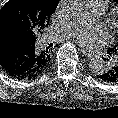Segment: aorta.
Instances as JSON below:
<instances>
[{
  "mask_svg": "<svg viewBox=\"0 0 118 118\" xmlns=\"http://www.w3.org/2000/svg\"><path fill=\"white\" fill-rule=\"evenodd\" d=\"M61 12L64 16L68 18H77L83 11V1L82 0H62L61 2ZM89 69L92 73L100 75L107 70V65L105 61L101 58L91 59L88 63Z\"/></svg>",
  "mask_w": 118,
  "mask_h": 118,
  "instance_id": "1",
  "label": "aorta"
}]
</instances>
